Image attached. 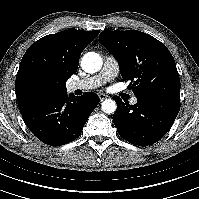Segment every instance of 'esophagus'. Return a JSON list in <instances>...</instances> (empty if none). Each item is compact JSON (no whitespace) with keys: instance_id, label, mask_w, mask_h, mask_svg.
I'll list each match as a JSON object with an SVG mask.
<instances>
[{"instance_id":"obj_1","label":"esophagus","mask_w":199,"mask_h":199,"mask_svg":"<svg viewBox=\"0 0 199 199\" xmlns=\"http://www.w3.org/2000/svg\"><path fill=\"white\" fill-rule=\"evenodd\" d=\"M98 96H99V98H100L101 101L108 98V95H106L104 93H99Z\"/></svg>"}]
</instances>
